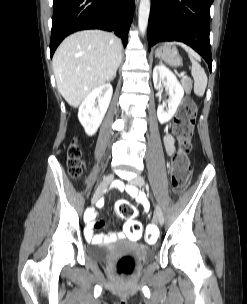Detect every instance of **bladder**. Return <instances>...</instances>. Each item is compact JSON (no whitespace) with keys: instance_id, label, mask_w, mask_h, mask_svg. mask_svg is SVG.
I'll return each mask as SVG.
<instances>
[{"instance_id":"obj_1","label":"bladder","mask_w":247,"mask_h":304,"mask_svg":"<svg viewBox=\"0 0 247 304\" xmlns=\"http://www.w3.org/2000/svg\"><path fill=\"white\" fill-rule=\"evenodd\" d=\"M110 253V246L108 245H93L87 249L88 256L95 261H104ZM144 257H151L154 252L151 249H143L141 251Z\"/></svg>"}]
</instances>
